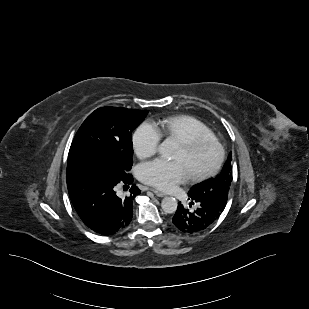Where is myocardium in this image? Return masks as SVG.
I'll return each mask as SVG.
<instances>
[{
  "mask_svg": "<svg viewBox=\"0 0 309 309\" xmlns=\"http://www.w3.org/2000/svg\"><path fill=\"white\" fill-rule=\"evenodd\" d=\"M181 143L187 150V152L191 154L196 153L206 147H211L215 150V159L213 163L205 170L190 174L192 180L194 181L204 180L216 174L217 171L220 169L225 157V150L221 142L218 141L216 138L198 137L183 140L181 141Z\"/></svg>",
  "mask_w": 309,
  "mask_h": 309,
  "instance_id": "myocardium-1",
  "label": "myocardium"
}]
</instances>
